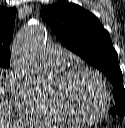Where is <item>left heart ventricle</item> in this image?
<instances>
[{
    "mask_svg": "<svg viewBox=\"0 0 125 128\" xmlns=\"http://www.w3.org/2000/svg\"><path fill=\"white\" fill-rule=\"evenodd\" d=\"M51 93L58 94L71 110L81 114L99 111L105 100L102 83L88 71L78 72L64 83L58 78Z\"/></svg>",
    "mask_w": 125,
    "mask_h": 128,
    "instance_id": "1",
    "label": "left heart ventricle"
}]
</instances>
